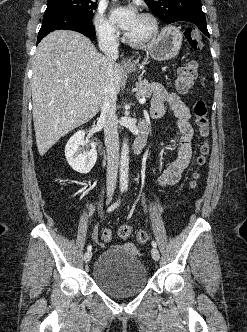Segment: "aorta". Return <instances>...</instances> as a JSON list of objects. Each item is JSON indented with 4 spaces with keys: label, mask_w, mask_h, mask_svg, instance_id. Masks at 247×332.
I'll use <instances>...</instances> for the list:
<instances>
[{
    "label": "aorta",
    "mask_w": 247,
    "mask_h": 332,
    "mask_svg": "<svg viewBox=\"0 0 247 332\" xmlns=\"http://www.w3.org/2000/svg\"><path fill=\"white\" fill-rule=\"evenodd\" d=\"M128 171H129V145L128 139H124L121 149L120 159V188H128Z\"/></svg>",
    "instance_id": "aorta-1"
}]
</instances>
